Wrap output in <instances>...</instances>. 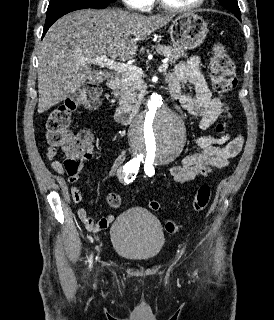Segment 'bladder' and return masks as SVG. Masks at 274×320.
Returning a JSON list of instances; mask_svg holds the SVG:
<instances>
[{
  "mask_svg": "<svg viewBox=\"0 0 274 320\" xmlns=\"http://www.w3.org/2000/svg\"><path fill=\"white\" fill-rule=\"evenodd\" d=\"M111 239L120 256L136 262L152 261L159 256L165 244L160 222L142 208L122 212L112 224Z\"/></svg>",
  "mask_w": 274,
  "mask_h": 320,
  "instance_id": "bladder-1",
  "label": "bladder"
}]
</instances>
